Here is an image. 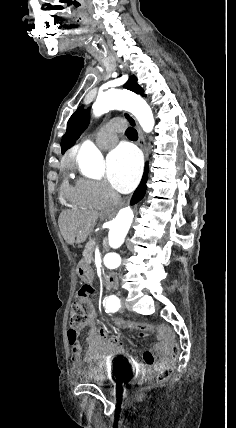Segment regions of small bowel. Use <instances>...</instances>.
<instances>
[{"label": "small bowel", "mask_w": 236, "mask_h": 428, "mask_svg": "<svg viewBox=\"0 0 236 428\" xmlns=\"http://www.w3.org/2000/svg\"><path fill=\"white\" fill-rule=\"evenodd\" d=\"M83 327L88 328L86 337L88 348L85 355L87 361H102L123 357L132 368L137 370L157 368L166 362L167 351L164 344H157L150 351L145 352L141 361L129 355L121 340L108 337L107 331L98 323L95 310L89 305L86 320L77 330L76 342L73 344L69 341L72 347V359L75 364L82 361L78 333Z\"/></svg>", "instance_id": "c3829d8e"}]
</instances>
